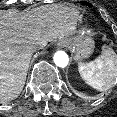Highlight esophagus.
<instances>
[{
    "instance_id": "1",
    "label": "esophagus",
    "mask_w": 117,
    "mask_h": 117,
    "mask_svg": "<svg viewBox=\"0 0 117 117\" xmlns=\"http://www.w3.org/2000/svg\"><path fill=\"white\" fill-rule=\"evenodd\" d=\"M57 45L60 48H64L67 45V40H64V39L63 40H60Z\"/></svg>"
}]
</instances>
